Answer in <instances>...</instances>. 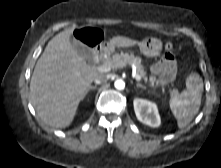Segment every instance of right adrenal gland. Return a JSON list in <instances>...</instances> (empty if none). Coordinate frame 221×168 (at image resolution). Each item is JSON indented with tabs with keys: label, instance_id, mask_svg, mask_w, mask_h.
I'll return each mask as SVG.
<instances>
[{
	"label": "right adrenal gland",
	"instance_id": "obj_1",
	"mask_svg": "<svg viewBox=\"0 0 221 168\" xmlns=\"http://www.w3.org/2000/svg\"><path fill=\"white\" fill-rule=\"evenodd\" d=\"M96 88H97L96 85L95 86H90L89 90L96 89Z\"/></svg>",
	"mask_w": 221,
	"mask_h": 168
}]
</instances>
